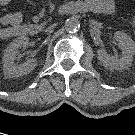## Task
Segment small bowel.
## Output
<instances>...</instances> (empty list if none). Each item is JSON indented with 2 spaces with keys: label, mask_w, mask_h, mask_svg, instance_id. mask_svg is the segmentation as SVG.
<instances>
[{
  "label": "small bowel",
  "mask_w": 135,
  "mask_h": 135,
  "mask_svg": "<svg viewBox=\"0 0 135 135\" xmlns=\"http://www.w3.org/2000/svg\"><path fill=\"white\" fill-rule=\"evenodd\" d=\"M13 0H0V5H7ZM86 7L95 14L112 15L115 12L113 0H85ZM22 14L14 12L0 18V38L7 39L23 34Z\"/></svg>",
  "instance_id": "obj_1"
}]
</instances>
